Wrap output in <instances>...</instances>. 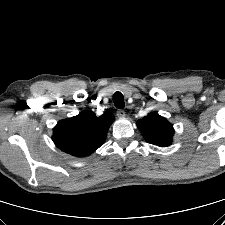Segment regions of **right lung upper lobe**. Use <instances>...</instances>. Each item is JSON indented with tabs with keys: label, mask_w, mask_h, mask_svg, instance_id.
Returning <instances> with one entry per match:
<instances>
[{
	"label": "right lung upper lobe",
	"mask_w": 225,
	"mask_h": 225,
	"mask_svg": "<svg viewBox=\"0 0 225 225\" xmlns=\"http://www.w3.org/2000/svg\"><path fill=\"white\" fill-rule=\"evenodd\" d=\"M114 120L110 112L97 117L94 112L83 111L61 120L53 129L52 139L60 150L76 157H85L104 143Z\"/></svg>",
	"instance_id": "right-lung-upper-lobe-1"
}]
</instances>
